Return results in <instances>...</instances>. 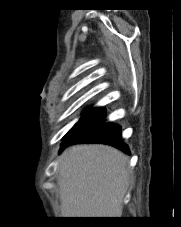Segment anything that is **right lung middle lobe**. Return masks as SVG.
I'll return each mask as SVG.
<instances>
[{
    "mask_svg": "<svg viewBox=\"0 0 181 227\" xmlns=\"http://www.w3.org/2000/svg\"><path fill=\"white\" fill-rule=\"evenodd\" d=\"M99 110H100L99 108H95V109H93V110L88 111L86 114H84V115L81 117V120H83V119H85V118H87V117H89V116L95 114V113L98 112ZM81 120H80V121H81Z\"/></svg>",
    "mask_w": 181,
    "mask_h": 227,
    "instance_id": "dd1d6c3e",
    "label": "right lung middle lobe"
}]
</instances>
